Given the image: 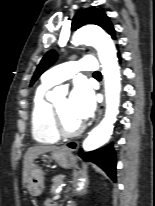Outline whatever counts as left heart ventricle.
<instances>
[{
    "instance_id": "obj_1",
    "label": "left heart ventricle",
    "mask_w": 155,
    "mask_h": 206,
    "mask_svg": "<svg viewBox=\"0 0 155 206\" xmlns=\"http://www.w3.org/2000/svg\"><path fill=\"white\" fill-rule=\"evenodd\" d=\"M55 106L58 109L64 124L69 127L73 128L78 126L81 122L73 117V115L70 113L69 105H68V99L66 97H62L60 99H57L55 101Z\"/></svg>"
}]
</instances>
